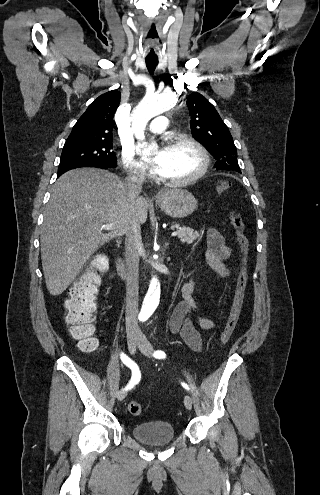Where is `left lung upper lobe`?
I'll return each mask as SVG.
<instances>
[{
	"label": "left lung upper lobe",
	"instance_id": "obj_1",
	"mask_svg": "<svg viewBox=\"0 0 320 495\" xmlns=\"http://www.w3.org/2000/svg\"><path fill=\"white\" fill-rule=\"evenodd\" d=\"M193 137L217 159V170L240 172L237 150L228 127L215 107L201 94L191 93L186 101Z\"/></svg>",
	"mask_w": 320,
	"mask_h": 495
}]
</instances>
